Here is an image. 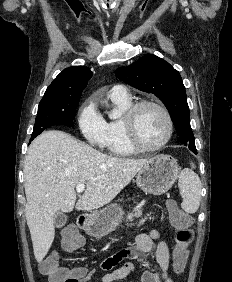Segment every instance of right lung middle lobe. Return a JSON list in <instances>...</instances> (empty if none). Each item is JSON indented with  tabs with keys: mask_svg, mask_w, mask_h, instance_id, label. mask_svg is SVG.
I'll return each mask as SVG.
<instances>
[{
	"mask_svg": "<svg viewBox=\"0 0 232 282\" xmlns=\"http://www.w3.org/2000/svg\"><path fill=\"white\" fill-rule=\"evenodd\" d=\"M81 95L69 97H43L39 103L38 113L33 128V140L46 128L53 125L73 127V119Z\"/></svg>",
	"mask_w": 232,
	"mask_h": 282,
	"instance_id": "obj_1",
	"label": "right lung middle lobe"
}]
</instances>
